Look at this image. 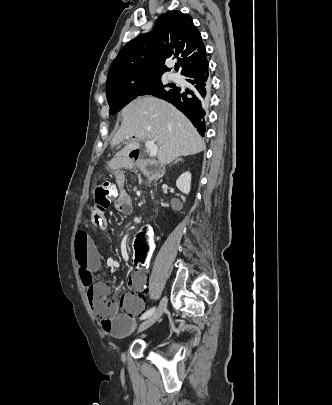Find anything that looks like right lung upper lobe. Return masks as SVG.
I'll return each instance as SVG.
<instances>
[{"label":"right lung upper lobe","mask_w":332,"mask_h":405,"mask_svg":"<svg viewBox=\"0 0 332 405\" xmlns=\"http://www.w3.org/2000/svg\"><path fill=\"white\" fill-rule=\"evenodd\" d=\"M177 58L181 74L206 59V51L191 16L170 11L159 17L154 29L127 43L114 59L106 90L129 78L161 76L164 63Z\"/></svg>","instance_id":"obj_1"}]
</instances>
